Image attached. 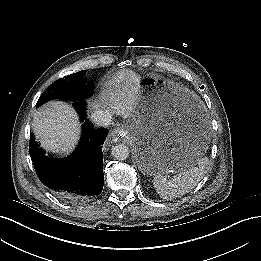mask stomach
Instances as JSON below:
<instances>
[{
    "label": "stomach",
    "instance_id": "0dacf381",
    "mask_svg": "<svg viewBox=\"0 0 261 261\" xmlns=\"http://www.w3.org/2000/svg\"><path fill=\"white\" fill-rule=\"evenodd\" d=\"M192 99L191 93L175 84L150 78L141 81L126 139L142 172L156 175L187 170L204 155L208 137L190 125Z\"/></svg>",
    "mask_w": 261,
    "mask_h": 261
}]
</instances>
